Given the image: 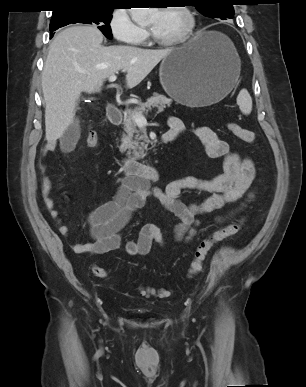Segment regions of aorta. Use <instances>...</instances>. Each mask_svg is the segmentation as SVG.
Returning a JSON list of instances; mask_svg holds the SVG:
<instances>
[{"mask_svg": "<svg viewBox=\"0 0 306 387\" xmlns=\"http://www.w3.org/2000/svg\"><path fill=\"white\" fill-rule=\"evenodd\" d=\"M152 8H131V18L137 24H142L152 14Z\"/></svg>", "mask_w": 306, "mask_h": 387, "instance_id": "762f6f07", "label": "aorta"}]
</instances>
